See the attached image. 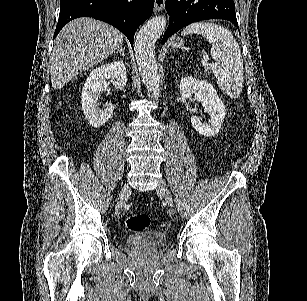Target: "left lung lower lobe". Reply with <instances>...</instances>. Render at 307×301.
Returning <instances> with one entry per match:
<instances>
[{
	"label": "left lung lower lobe",
	"instance_id": "1",
	"mask_svg": "<svg viewBox=\"0 0 307 301\" xmlns=\"http://www.w3.org/2000/svg\"><path fill=\"white\" fill-rule=\"evenodd\" d=\"M165 8L170 20L161 44L184 26L201 20H228L238 28L233 0H166Z\"/></svg>",
	"mask_w": 307,
	"mask_h": 301
}]
</instances>
